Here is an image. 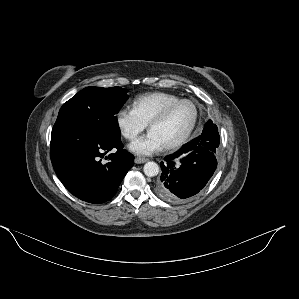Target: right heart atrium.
Returning <instances> with one entry per match:
<instances>
[{
  "instance_id": "1",
  "label": "right heart atrium",
  "mask_w": 299,
  "mask_h": 299,
  "mask_svg": "<svg viewBox=\"0 0 299 299\" xmlns=\"http://www.w3.org/2000/svg\"><path fill=\"white\" fill-rule=\"evenodd\" d=\"M120 134L127 140L136 139L147 127V124L129 107L121 108L115 117Z\"/></svg>"
}]
</instances>
